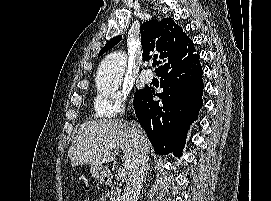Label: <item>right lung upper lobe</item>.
Returning a JSON list of instances; mask_svg holds the SVG:
<instances>
[{"label": "right lung upper lobe", "instance_id": "1", "mask_svg": "<svg viewBox=\"0 0 271 201\" xmlns=\"http://www.w3.org/2000/svg\"><path fill=\"white\" fill-rule=\"evenodd\" d=\"M142 47L144 49L143 61L150 59V51L156 50L163 59V63H167L173 58L180 55L183 46L189 37L183 32L171 18L162 19L160 22L150 20L143 23L140 27ZM121 36H116L106 43L100 50L99 57L106 51L114 47L120 40ZM155 56V55H154ZM163 65L159 66L158 71Z\"/></svg>", "mask_w": 271, "mask_h": 201}]
</instances>
